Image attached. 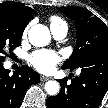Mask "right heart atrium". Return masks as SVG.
Instances as JSON below:
<instances>
[{
  "label": "right heart atrium",
  "mask_w": 108,
  "mask_h": 108,
  "mask_svg": "<svg viewBox=\"0 0 108 108\" xmlns=\"http://www.w3.org/2000/svg\"><path fill=\"white\" fill-rule=\"evenodd\" d=\"M26 33H27V29L25 30L24 34H26Z\"/></svg>",
  "instance_id": "d8ad5b80"
}]
</instances>
